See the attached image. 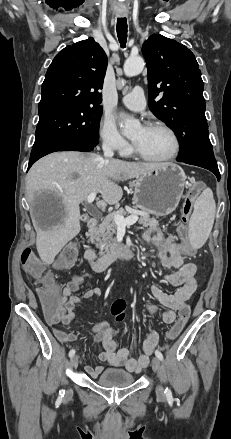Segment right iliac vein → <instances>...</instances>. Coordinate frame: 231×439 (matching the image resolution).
<instances>
[{
  "instance_id": "right-iliac-vein-1",
  "label": "right iliac vein",
  "mask_w": 231,
  "mask_h": 439,
  "mask_svg": "<svg viewBox=\"0 0 231 439\" xmlns=\"http://www.w3.org/2000/svg\"><path fill=\"white\" fill-rule=\"evenodd\" d=\"M77 366H78V356H73V357H71V360H70V367H71L72 369H76ZM70 392H71V390L68 391V393H70Z\"/></svg>"
}]
</instances>
